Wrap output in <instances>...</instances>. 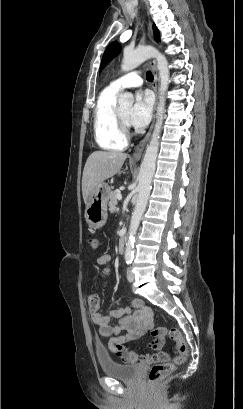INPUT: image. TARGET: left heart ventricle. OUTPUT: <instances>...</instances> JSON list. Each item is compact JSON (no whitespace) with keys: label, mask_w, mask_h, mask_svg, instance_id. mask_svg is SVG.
<instances>
[{"label":"left heart ventricle","mask_w":243,"mask_h":409,"mask_svg":"<svg viewBox=\"0 0 243 409\" xmlns=\"http://www.w3.org/2000/svg\"><path fill=\"white\" fill-rule=\"evenodd\" d=\"M118 109L121 117L127 122V117L131 109L130 105L121 106Z\"/></svg>","instance_id":"left-heart-ventricle-1"}]
</instances>
